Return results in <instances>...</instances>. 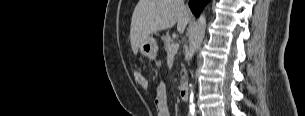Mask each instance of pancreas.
I'll use <instances>...</instances> for the list:
<instances>
[{
    "mask_svg": "<svg viewBox=\"0 0 305 116\" xmlns=\"http://www.w3.org/2000/svg\"><path fill=\"white\" fill-rule=\"evenodd\" d=\"M161 39H162L165 49L167 51H168L169 46L171 44H174V40L170 37V35L168 33H166L165 35H162Z\"/></svg>",
    "mask_w": 305,
    "mask_h": 116,
    "instance_id": "pancreas-1",
    "label": "pancreas"
}]
</instances>
